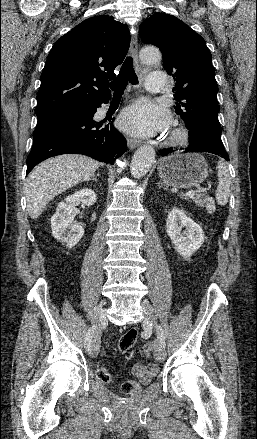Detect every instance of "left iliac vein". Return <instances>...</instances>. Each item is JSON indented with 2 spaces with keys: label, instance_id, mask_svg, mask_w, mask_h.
I'll return each mask as SVG.
<instances>
[{
  "label": "left iliac vein",
  "instance_id": "left-iliac-vein-1",
  "mask_svg": "<svg viewBox=\"0 0 257 439\" xmlns=\"http://www.w3.org/2000/svg\"><path fill=\"white\" fill-rule=\"evenodd\" d=\"M141 307H142V310L144 313L145 324L155 327L156 326V313H155L154 308L147 301H143L141 303ZM156 358L160 361H163L166 358L165 348L160 344V342L157 343Z\"/></svg>",
  "mask_w": 257,
  "mask_h": 439
}]
</instances>
